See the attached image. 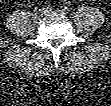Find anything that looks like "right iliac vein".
Returning <instances> with one entry per match:
<instances>
[{
	"instance_id": "obj_1",
	"label": "right iliac vein",
	"mask_w": 111,
	"mask_h": 106,
	"mask_svg": "<svg viewBox=\"0 0 111 106\" xmlns=\"http://www.w3.org/2000/svg\"><path fill=\"white\" fill-rule=\"evenodd\" d=\"M47 13H48V11L46 10V8H42L39 10L38 16L42 17V16L46 15Z\"/></svg>"
}]
</instances>
